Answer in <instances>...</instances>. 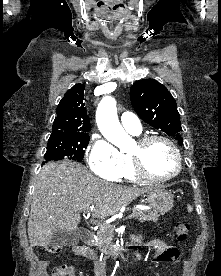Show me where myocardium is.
<instances>
[{"label":"myocardium","mask_w":221,"mask_h":276,"mask_svg":"<svg viewBox=\"0 0 221 276\" xmlns=\"http://www.w3.org/2000/svg\"><path fill=\"white\" fill-rule=\"evenodd\" d=\"M155 140H162V141L166 142L172 148V150L175 154L176 162H177L176 170L168 176H164V177L154 176L148 172V170L146 169V166L144 164L143 154H142L143 149L149 143H151ZM136 144L138 146V151L131 153L130 158L132 160L134 172L139 179H141L143 181H147V182L161 183V182H166V181L172 180V179L176 178L181 173V170H182L181 152H180L177 144L171 138H169L165 135H162V134L144 135L137 140Z\"/></svg>","instance_id":"f54148a6"}]
</instances>
